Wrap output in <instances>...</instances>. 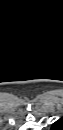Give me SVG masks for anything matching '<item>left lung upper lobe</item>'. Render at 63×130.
Segmentation results:
<instances>
[{
	"mask_svg": "<svg viewBox=\"0 0 63 130\" xmlns=\"http://www.w3.org/2000/svg\"><path fill=\"white\" fill-rule=\"evenodd\" d=\"M58 129H61V120L56 121L52 126V130H58Z\"/></svg>",
	"mask_w": 63,
	"mask_h": 130,
	"instance_id": "1",
	"label": "left lung upper lobe"
}]
</instances>
